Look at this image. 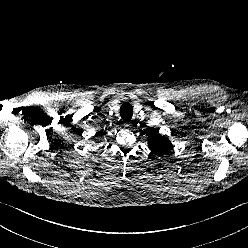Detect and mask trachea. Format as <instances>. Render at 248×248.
Returning <instances> with one entry per match:
<instances>
[{
  "instance_id": "1",
  "label": "trachea",
  "mask_w": 248,
  "mask_h": 248,
  "mask_svg": "<svg viewBox=\"0 0 248 248\" xmlns=\"http://www.w3.org/2000/svg\"><path fill=\"white\" fill-rule=\"evenodd\" d=\"M121 118L125 121H129L133 115L132 105L129 103H123L120 107Z\"/></svg>"
}]
</instances>
